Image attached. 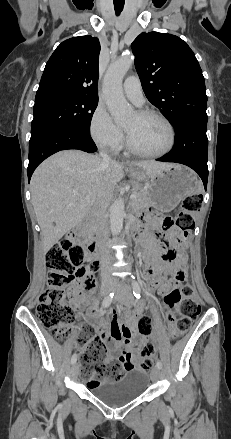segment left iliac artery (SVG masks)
Wrapping results in <instances>:
<instances>
[{
    "mask_svg": "<svg viewBox=\"0 0 231 439\" xmlns=\"http://www.w3.org/2000/svg\"><path fill=\"white\" fill-rule=\"evenodd\" d=\"M132 289H133V294H134V296L137 298V299H140V297H141V289H140V286H139V284H138V282L136 281V280H134V278H133V280H132ZM156 366L159 368V369H161L162 368V363H161V361L160 360H158L157 362H156Z\"/></svg>",
    "mask_w": 231,
    "mask_h": 439,
    "instance_id": "44dca946",
    "label": "left iliac artery"
}]
</instances>
